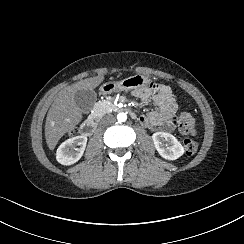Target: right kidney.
I'll list each match as a JSON object with an SVG mask.
<instances>
[{
  "label": "right kidney",
  "instance_id": "right-kidney-1",
  "mask_svg": "<svg viewBox=\"0 0 244 244\" xmlns=\"http://www.w3.org/2000/svg\"><path fill=\"white\" fill-rule=\"evenodd\" d=\"M78 145L80 147L73 149ZM87 137L86 136H76L64 141L56 151V160L59 164L63 166H71L78 162L86 149Z\"/></svg>",
  "mask_w": 244,
  "mask_h": 244
}]
</instances>
